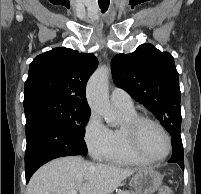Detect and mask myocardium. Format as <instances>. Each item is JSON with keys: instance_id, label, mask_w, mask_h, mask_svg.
I'll return each mask as SVG.
<instances>
[{"instance_id": "f54148a6", "label": "myocardium", "mask_w": 201, "mask_h": 194, "mask_svg": "<svg viewBox=\"0 0 201 194\" xmlns=\"http://www.w3.org/2000/svg\"><path fill=\"white\" fill-rule=\"evenodd\" d=\"M150 123L154 126H156L166 137L168 148L166 153L159 158H152L147 156L141 149L139 144V135L141 128L144 124ZM125 130L127 133L128 141L130 144L131 149L134 151L136 155H138L141 159L145 160L148 163H158L164 161L172 152L173 149V141L170 133L167 131V129L157 120L152 119L150 117L146 116H137L134 119L129 120L125 124Z\"/></svg>"}]
</instances>
